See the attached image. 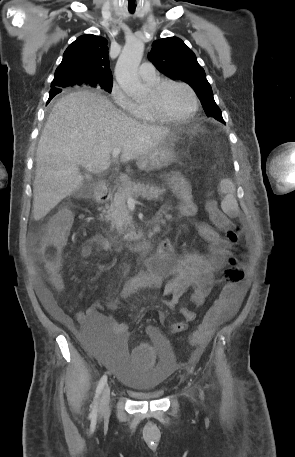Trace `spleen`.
I'll return each mask as SVG.
<instances>
[{
	"instance_id": "obj_1",
	"label": "spleen",
	"mask_w": 295,
	"mask_h": 457,
	"mask_svg": "<svg viewBox=\"0 0 295 457\" xmlns=\"http://www.w3.org/2000/svg\"><path fill=\"white\" fill-rule=\"evenodd\" d=\"M219 191L225 194V198L221 202L222 210L227 215L234 216L239 210L237 200L234 196V183L230 179H223L219 184Z\"/></svg>"
}]
</instances>
